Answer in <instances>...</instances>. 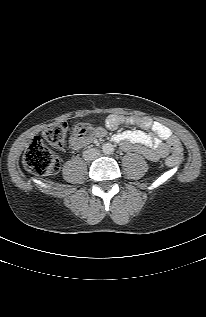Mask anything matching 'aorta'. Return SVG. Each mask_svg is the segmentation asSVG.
<instances>
[{"mask_svg":"<svg viewBox=\"0 0 206 317\" xmlns=\"http://www.w3.org/2000/svg\"><path fill=\"white\" fill-rule=\"evenodd\" d=\"M102 151L104 154L109 155L113 153L114 147L111 143H105L102 146Z\"/></svg>","mask_w":206,"mask_h":317,"instance_id":"aorta-1","label":"aorta"}]
</instances>
